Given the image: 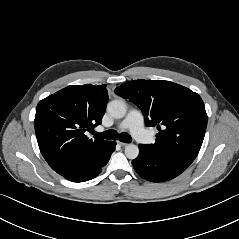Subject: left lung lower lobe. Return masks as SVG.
<instances>
[{
  "mask_svg": "<svg viewBox=\"0 0 239 239\" xmlns=\"http://www.w3.org/2000/svg\"><path fill=\"white\" fill-rule=\"evenodd\" d=\"M139 156L132 161L135 171L152 182L168 181L184 172L189 164L139 145Z\"/></svg>",
  "mask_w": 239,
  "mask_h": 239,
  "instance_id": "1",
  "label": "left lung lower lobe"
}]
</instances>
